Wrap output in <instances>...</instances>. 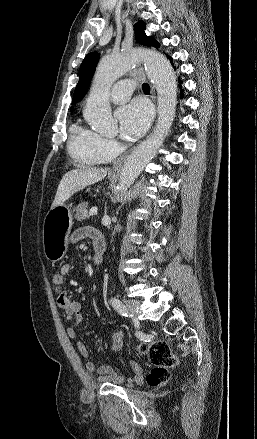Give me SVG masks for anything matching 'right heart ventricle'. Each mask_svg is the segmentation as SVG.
<instances>
[{"mask_svg": "<svg viewBox=\"0 0 257 439\" xmlns=\"http://www.w3.org/2000/svg\"><path fill=\"white\" fill-rule=\"evenodd\" d=\"M97 134L73 125L70 130L68 150L74 160L85 166H95L103 163L105 159L96 149Z\"/></svg>", "mask_w": 257, "mask_h": 439, "instance_id": "right-heart-ventricle-1", "label": "right heart ventricle"}]
</instances>
